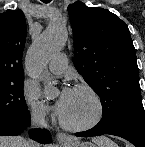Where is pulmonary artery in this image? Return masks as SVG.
Here are the masks:
<instances>
[{"mask_svg": "<svg viewBox=\"0 0 145 147\" xmlns=\"http://www.w3.org/2000/svg\"><path fill=\"white\" fill-rule=\"evenodd\" d=\"M49 70L53 74H62L67 69V58L63 53L55 55L48 64Z\"/></svg>", "mask_w": 145, "mask_h": 147, "instance_id": "e3ab8cb5", "label": "pulmonary artery"}]
</instances>
